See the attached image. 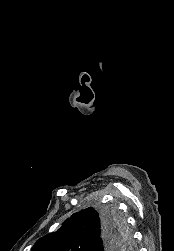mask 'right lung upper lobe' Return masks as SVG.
<instances>
[{
	"instance_id": "obj_1",
	"label": "right lung upper lobe",
	"mask_w": 174,
	"mask_h": 251,
	"mask_svg": "<svg viewBox=\"0 0 174 251\" xmlns=\"http://www.w3.org/2000/svg\"><path fill=\"white\" fill-rule=\"evenodd\" d=\"M104 216L92 207L73 214L56 232L40 238L31 251H96L100 245ZM124 237L118 232L112 249L120 250ZM100 247L97 251H104Z\"/></svg>"
}]
</instances>
